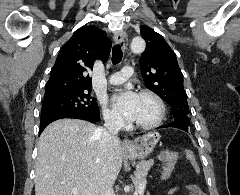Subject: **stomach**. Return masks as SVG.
<instances>
[{
	"label": "stomach",
	"instance_id": "obj_1",
	"mask_svg": "<svg viewBox=\"0 0 240 195\" xmlns=\"http://www.w3.org/2000/svg\"><path fill=\"white\" fill-rule=\"evenodd\" d=\"M160 139L158 131H148L133 141V145L124 147L125 155L131 159H145L153 151Z\"/></svg>",
	"mask_w": 240,
	"mask_h": 195
}]
</instances>
